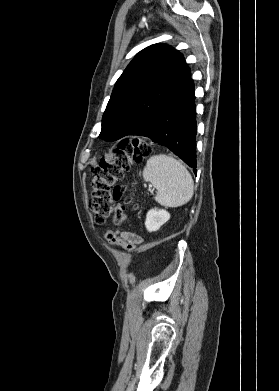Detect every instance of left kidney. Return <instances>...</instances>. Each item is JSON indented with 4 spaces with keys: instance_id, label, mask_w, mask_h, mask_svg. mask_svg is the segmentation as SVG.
<instances>
[{
    "instance_id": "obj_1",
    "label": "left kidney",
    "mask_w": 279,
    "mask_h": 391,
    "mask_svg": "<svg viewBox=\"0 0 279 391\" xmlns=\"http://www.w3.org/2000/svg\"><path fill=\"white\" fill-rule=\"evenodd\" d=\"M170 219V214L164 209H151L146 215L145 226L149 232L157 231Z\"/></svg>"
}]
</instances>
